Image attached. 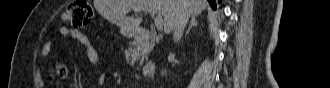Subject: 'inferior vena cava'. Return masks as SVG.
Instances as JSON below:
<instances>
[{"label":"inferior vena cava","instance_id":"1","mask_svg":"<svg viewBox=\"0 0 330 88\" xmlns=\"http://www.w3.org/2000/svg\"><path fill=\"white\" fill-rule=\"evenodd\" d=\"M189 13H182L177 21L175 22L174 31H173V39L175 42H179L182 38L185 26L189 20Z\"/></svg>","mask_w":330,"mask_h":88}]
</instances>
